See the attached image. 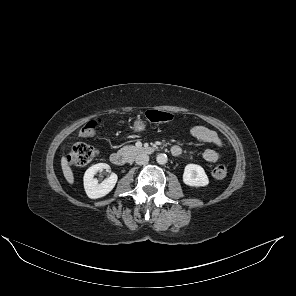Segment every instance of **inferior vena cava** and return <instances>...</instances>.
Listing matches in <instances>:
<instances>
[{"mask_svg":"<svg viewBox=\"0 0 296 296\" xmlns=\"http://www.w3.org/2000/svg\"><path fill=\"white\" fill-rule=\"evenodd\" d=\"M149 161V156L147 154H138L135 158V162L138 165L147 164Z\"/></svg>","mask_w":296,"mask_h":296,"instance_id":"1","label":"inferior vena cava"}]
</instances>
